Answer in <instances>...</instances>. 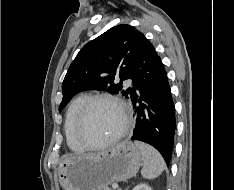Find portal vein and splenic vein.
<instances>
[{
    "label": "portal vein and splenic vein",
    "mask_w": 234,
    "mask_h": 190,
    "mask_svg": "<svg viewBox=\"0 0 234 190\" xmlns=\"http://www.w3.org/2000/svg\"><path fill=\"white\" fill-rule=\"evenodd\" d=\"M112 188H113V189H117V188H118V184L114 183V184L112 185Z\"/></svg>",
    "instance_id": "1"
}]
</instances>
